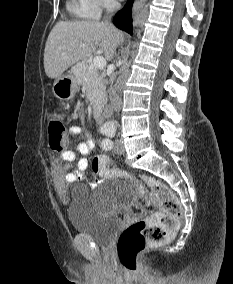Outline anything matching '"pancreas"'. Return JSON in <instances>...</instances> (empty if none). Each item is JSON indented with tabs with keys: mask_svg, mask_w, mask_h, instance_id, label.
Returning a JSON list of instances; mask_svg holds the SVG:
<instances>
[{
	"mask_svg": "<svg viewBox=\"0 0 233 284\" xmlns=\"http://www.w3.org/2000/svg\"><path fill=\"white\" fill-rule=\"evenodd\" d=\"M79 83L86 90V97L93 106H103L106 101V88L103 78L104 73H100L88 61H82L73 68Z\"/></svg>",
	"mask_w": 233,
	"mask_h": 284,
	"instance_id": "obj_1",
	"label": "pancreas"
}]
</instances>
